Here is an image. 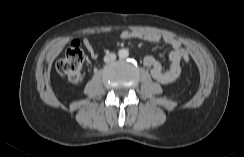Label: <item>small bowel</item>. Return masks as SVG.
<instances>
[{
  "instance_id": "obj_1",
  "label": "small bowel",
  "mask_w": 244,
  "mask_h": 157,
  "mask_svg": "<svg viewBox=\"0 0 244 157\" xmlns=\"http://www.w3.org/2000/svg\"><path fill=\"white\" fill-rule=\"evenodd\" d=\"M122 39H141L156 44H166L171 48L169 53L170 65L164 67L158 60L152 56H147L144 59V64L149 68L151 76L161 84L174 83L181 73V60L185 50L182 48L180 42L169 36H162L157 33L151 32H130L123 31L120 34ZM84 46L88 50L92 58L97 57V53L94 50L89 38L83 39Z\"/></svg>"
}]
</instances>
